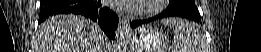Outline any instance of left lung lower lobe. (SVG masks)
I'll return each mask as SVG.
<instances>
[{
	"label": "left lung lower lobe",
	"mask_w": 261,
	"mask_h": 52,
	"mask_svg": "<svg viewBox=\"0 0 261 52\" xmlns=\"http://www.w3.org/2000/svg\"><path fill=\"white\" fill-rule=\"evenodd\" d=\"M174 16L189 18V19L194 20L196 22L200 21V16H198V15H196V14H194V13H192V12L186 10V9H181V8L171 9V8H168L163 13L156 15L152 18L133 21L131 23V27L136 28V27H138L142 24H147V23H150L154 20H158V19L165 18V17H174Z\"/></svg>",
	"instance_id": "obj_1"
}]
</instances>
